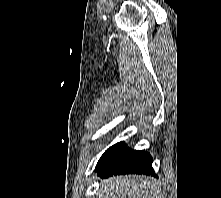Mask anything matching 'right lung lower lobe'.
<instances>
[{"label":"right lung lower lobe","instance_id":"obj_1","mask_svg":"<svg viewBox=\"0 0 221 198\" xmlns=\"http://www.w3.org/2000/svg\"><path fill=\"white\" fill-rule=\"evenodd\" d=\"M152 157L148 152L124 148L106 164L97 168L98 175L108 177L119 174H146L156 176L152 168Z\"/></svg>","mask_w":221,"mask_h":198}]
</instances>
